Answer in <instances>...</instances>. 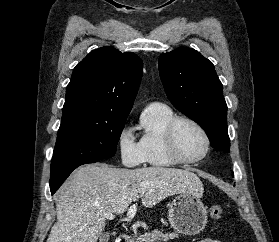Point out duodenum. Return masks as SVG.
<instances>
[{"label":"duodenum","mask_w":279,"mask_h":242,"mask_svg":"<svg viewBox=\"0 0 279 242\" xmlns=\"http://www.w3.org/2000/svg\"><path fill=\"white\" fill-rule=\"evenodd\" d=\"M116 242H133L129 235L121 234L117 237Z\"/></svg>","instance_id":"410a0bca"}]
</instances>
